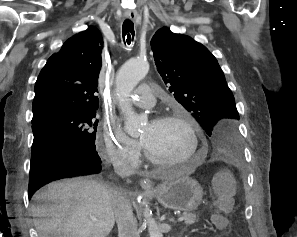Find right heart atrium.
I'll use <instances>...</instances> for the list:
<instances>
[{"label": "right heart atrium", "instance_id": "1", "mask_svg": "<svg viewBox=\"0 0 297 237\" xmlns=\"http://www.w3.org/2000/svg\"><path fill=\"white\" fill-rule=\"evenodd\" d=\"M104 149L109 160L120 166L136 167L140 161L139 145L127 137L113 122H105Z\"/></svg>", "mask_w": 297, "mask_h": 237}]
</instances>
